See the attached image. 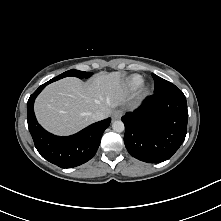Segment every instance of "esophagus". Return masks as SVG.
I'll list each match as a JSON object with an SVG mask.
<instances>
[{"label": "esophagus", "instance_id": "esophagus-1", "mask_svg": "<svg viewBox=\"0 0 221 221\" xmlns=\"http://www.w3.org/2000/svg\"><path fill=\"white\" fill-rule=\"evenodd\" d=\"M123 112L120 109H116L113 111L112 113V119L116 120V119H120L122 116Z\"/></svg>", "mask_w": 221, "mask_h": 221}]
</instances>
